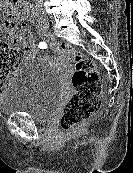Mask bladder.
<instances>
[{"mask_svg":"<svg viewBox=\"0 0 133 173\" xmlns=\"http://www.w3.org/2000/svg\"><path fill=\"white\" fill-rule=\"evenodd\" d=\"M64 85L59 72L47 62L28 60L15 71L0 97V112L27 113L40 122L55 114Z\"/></svg>","mask_w":133,"mask_h":173,"instance_id":"obj_1","label":"bladder"}]
</instances>
